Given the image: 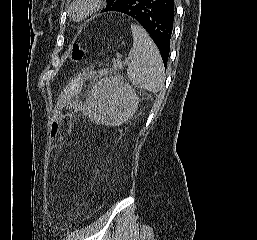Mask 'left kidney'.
Wrapping results in <instances>:
<instances>
[{"label": "left kidney", "mask_w": 257, "mask_h": 240, "mask_svg": "<svg viewBox=\"0 0 257 240\" xmlns=\"http://www.w3.org/2000/svg\"><path fill=\"white\" fill-rule=\"evenodd\" d=\"M138 102L134 89L121 77L104 79L94 87L89 117L99 124L118 126L135 113Z\"/></svg>", "instance_id": "left-kidney-1"}]
</instances>
